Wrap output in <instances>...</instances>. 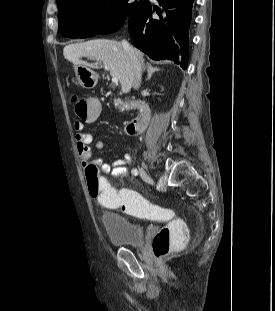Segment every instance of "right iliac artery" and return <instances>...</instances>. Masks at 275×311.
<instances>
[{"instance_id": "1", "label": "right iliac artery", "mask_w": 275, "mask_h": 311, "mask_svg": "<svg viewBox=\"0 0 275 311\" xmlns=\"http://www.w3.org/2000/svg\"><path fill=\"white\" fill-rule=\"evenodd\" d=\"M131 173L136 176V175H138V170L136 168H134L131 170Z\"/></svg>"}]
</instances>
